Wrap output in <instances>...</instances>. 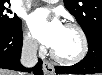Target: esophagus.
<instances>
[{"label":"esophagus","mask_w":102,"mask_h":75,"mask_svg":"<svg viewBox=\"0 0 102 75\" xmlns=\"http://www.w3.org/2000/svg\"><path fill=\"white\" fill-rule=\"evenodd\" d=\"M43 71L46 75H53L54 74V66L49 63L48 61H43Z\"/></svg>","instance_id":"34e87169"}]
</instances>
